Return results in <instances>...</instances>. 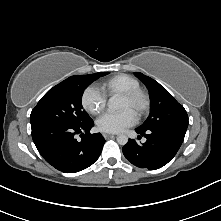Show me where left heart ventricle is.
<instances>
[{"label":"left heart ventricle","instance_id":"obj_1","mask_svg":"<svg viewBox=\"0 0 221 221\" xmlns=\"http://www.w3.org/2000/svg\"><path fill=\"white\" fill-rule=\"evenodd\" d=\"M139 104H140L139 101H128L126 99L120 98L119 109L120 110L128 109L135 114Z\"/></svg>","mask_w":221,"mask_h":221}]
</instances>
